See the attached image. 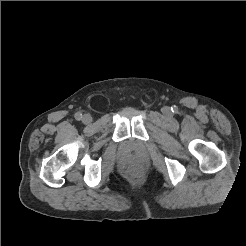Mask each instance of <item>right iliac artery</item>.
Returning a JSON list of instances; mask_svg holds the SVG:
<instances>
[{
    "label": "right iliac artery",
    "mask_w": 246,
    "mask_h": 246,
    "mask_svg": "<svg viewBox=\"0 0 246 246\" xmlns=\"http://www.w3.org/2000/svg\"><path fill=\"white\" fill-rule=\"evenodd\" d=\"M75 118H76L77 120H81V119H82V114H81V113H76V114H75Z\"/></svg>",
    "instance_id": "1"
}]
</instances>
